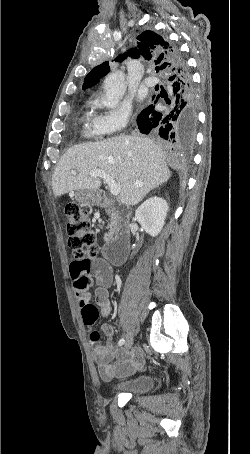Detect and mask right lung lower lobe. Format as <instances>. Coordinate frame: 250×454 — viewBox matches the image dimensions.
<instances>
[{"label": "right lung lower lobe", "mask_w": 250, "mask_h": 454, "mask_svg": "<svg viewBox=\"0 0 250 454\" xmlns=\"http://www.w3.org/2000/svg\"><path fill=\"white\" fill-rule=\"evenodd\" d=\"M169 53L172 67L164 76L168 94L160 95L163 99H160L161 106L157 110L153 105L145 108L137 117V125L141 133L158 134L176 146H190L197 127L196 96L181 52L169 43ZM158 99L159 96L154 103Z\"/></svg>", "instance_id": "obj_1"}]
</instances>
